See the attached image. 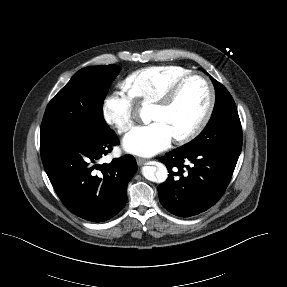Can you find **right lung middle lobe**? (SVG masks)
<instances>
[{"instance_id":"dd1d6c3e","label":"right lung middle lobe","mask_w":287,"mask_h":287,"mask_svg":"<svg viewBox=\"0 0 287 287\" xmlns=\"http://www.w3.org/2000/svg\"><path fill=\"white\" fill-rule=\"evenodd\" d=\"M117 65L79 70L48 104L40 128V148L87 141L110 130L102 115L107 90L119 73Z\"/></svg>"}]
</instances>
